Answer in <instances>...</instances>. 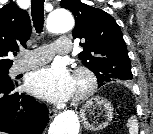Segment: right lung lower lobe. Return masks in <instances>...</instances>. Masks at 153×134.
Instances as JSON below:
<instances>
[{"mask_svg": "<svg viewBox=\"0 0 153 134\" xmlns=\"http://www.w3.org/2000/svg\"><path fill=\"white\" fill-rule=\"evenodd\" d=\"M15 86L0 81V131L41 134L48 123L47 108L32 96L14 92Z\"/></svg>", "mask_w": 153, "mask_h": 134, "instance_id": "98d812e1", "label": "right lung lower lobe"}]
</instances>
